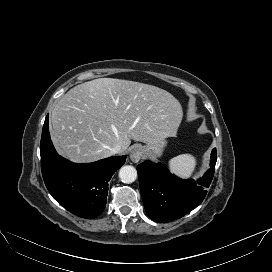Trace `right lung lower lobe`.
Returning a JSON list of instances; mask_svg holds the SVG:
<instances>
[{
	"label": "right lung lower lobe",
	"mask_w": 272,
	"mask_h": 272,
	"mask_svg": "<svg viewBox=\"0 0 272 272\" xmlns=\"http://www.w3.org/2000/svg\"><path fill=\"white\" fill-rule=\"evenodd\" d=\"M40 155L43 179L51 195L68 211L86 219L97 217L105 209L108 182L126 160V156H113L76 164L64 159L51 142L48 115L42 130Z\"/></svg>",
	"instance_id": "1"
}]
</instances>
